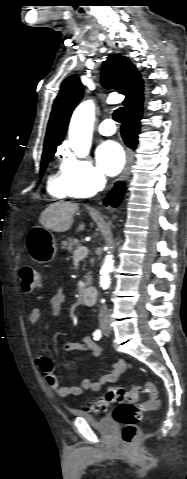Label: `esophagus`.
Segmentation results:
<instances>
[{
  "label": "esophagus",
  "instance_id": "1",
  "mask_svg": "<svg viewBox=\"0 0 187 479\" xmlns=\"http://www.w3.org/2000/svg\"><path fill=\"white\" fill-rule=\"evenodd\" d=\"M131 162H132V153L130 150H127V153H126V163H125V167L120 175V180H125L128 175H129V171H130V165H131Z\"/></svg>",
  "mask_w": 187,
  "mask_h": 479
}]
</instances>
